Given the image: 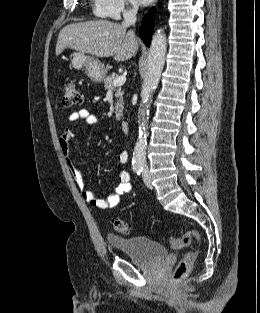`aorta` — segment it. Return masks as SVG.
<instances>
[{
    "instance_id": "762f6f07",
    "label": "aorta",
    "mask_w": 260,
    "mask_h": 313,
    "mask_svg": "<svg viewBox=\"0 0 260 313\" xmlns=\"http://www.w3.org/2000/svg\"><path fill=\"white\" fill-rule=\"evenodd\" d=\"M166 47V35L161 30H158L151 41L147 71L141 89L142 103L139 109L140 128L133 151L132 160L134 164H144L146 160L150 99L160 80L165 62Z\"/></svg>"
}]
</instances>
